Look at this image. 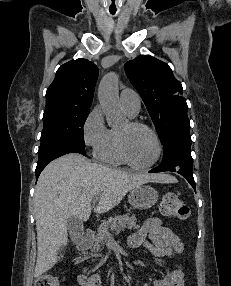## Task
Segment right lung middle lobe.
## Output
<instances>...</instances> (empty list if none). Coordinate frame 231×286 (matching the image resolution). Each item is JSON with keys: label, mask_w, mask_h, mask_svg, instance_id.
I'll return each instance as SVG.
<instances>
[{"label": "right lung middle lobe", "mask_w": 231, "mask_h": 286, "mask_svg": "<svg viewBox=\"0 0 231 286\" xmlns=\"http://www.w3.org/2000/svg\"><path fill=\"white\" fill-rule=\"evenodd\" d=\"M90 108L73 106L46 107L39 153L58 145L71 143L84 147L83 126Z\"/></svg>", "instance_id": "obj_1"}]
</instances>
